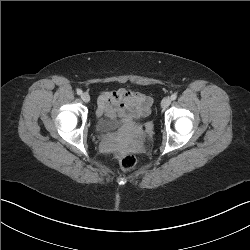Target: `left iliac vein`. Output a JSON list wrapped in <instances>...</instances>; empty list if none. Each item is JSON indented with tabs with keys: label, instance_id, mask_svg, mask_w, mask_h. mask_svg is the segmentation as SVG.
<instances>
[{
	"label": "left iliac vein",
	"instance_id": "1",
	"mask_svg": "<svg viewBox=\"0 0 250 250\" xmlns=\"http://www.w3.org/2000/svg\"><path fill=\"white\" fill-rule=\"evenodd\" d=\"M170 104H171V99L169 97H165L161 102V106L163 109H166Z\"/></svg>",
	"mask_w": 250,
	"mask_h": 250
}]
</instances>
